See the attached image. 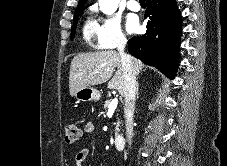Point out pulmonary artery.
<instances>
[{
	"mask_svg": "<svg viewBox=\"0 0 227 166\" xmlns=\"http://www.w3.org/2000/svg\"><path fill=\"white\" fill-rule=\"evenodd\" d=\"M127 7L129 10L137 12L140 10L141 6L138 0H128Z\"/></svg>",
	"mask_w": 227,
	"mask_h": 166,
	"instance_id": "pulmonary-artery-1",
	"label": "pulmonary artery"
}]
</instances>
